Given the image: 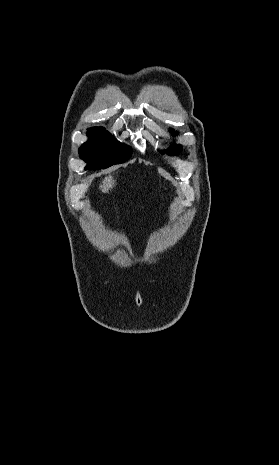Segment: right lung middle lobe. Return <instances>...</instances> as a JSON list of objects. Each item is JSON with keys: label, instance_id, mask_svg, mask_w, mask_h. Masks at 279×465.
I'll use <instances>...</instances> for the list:
<instances>
[{"label": "right lung middle lobe", "instance_id": "right-lung-middle-lobe-1", "mask_svg": "<svg viewBox=\"0 0 279 465\" xmlns=\"http://www.w3.org/2000/svg\"><path fill=\"white\" fill-rule=\"evenodd\" d=\"M87 132L89 140L79 148V156L88 165L86 169H104L123 163L131 157V148L117 144L102 127H94Z\"/></svg>", "mask_w": 279, "mask_h": 465}]
</instances>
